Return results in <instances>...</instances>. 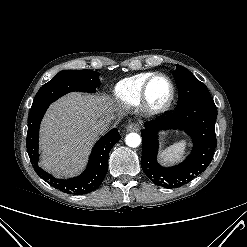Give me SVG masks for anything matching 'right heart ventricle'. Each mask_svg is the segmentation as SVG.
<instances>
[{
	"mask_svg": "<svg viewBox=\"0 0 247 247\" xmlns=\"http://www.w3.org/2000/svg\"><path fill=\"white\" fill-rule=\"evenodd\" d=\"M151 72L136 74L120 80L113 89L114 99L123 107H136L141 102L142 88Z\"/></svg>",
	"mask_w": 247,
	"mask_h": 247,
	"instance_id": "right-heart-ventricle-1",
	"label": "right heart ventricle"
}]
</instances>
